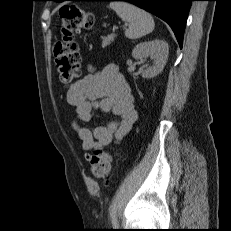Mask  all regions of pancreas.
I'll return each instance as SVG.
<instances>
[{
    "label": "pancreas",
    "instance_id": "cf45deb5",
    "mask_svg": "<svg viewBox=\"0 0 231 231\" xmlns=\"http://www.w3.org/2000/svg\"><path fill=\"white\" fill-rule=\"evenodd\" d=\"M116 37L115 34L108 35L107 37H102L103 42H102V47L108 46L112 41H114V38Z\"/></svg>",
    "mask_w": 231,
    "mask_h": 231
}]
</instances>
